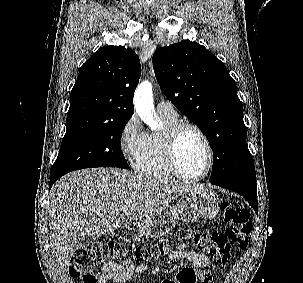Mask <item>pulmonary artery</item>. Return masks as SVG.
<instances>
[{
  "mask_svg": "<svg viewBox=\"0 0 303 283\" xmlns=\"http://www.w3.org/2000/svg\"><path fill=\"white\" fill-rule=\"evenodd\" d=\"M157 111L160 114L173 116L176 115V112L172 106V104L168 101H160L157 104Z\"/></svg>",
  "mask_w": 303,
  "mask_h": 283,
  "instance_id": "pulmonary-artery-1",
  "label": "pulmonary artery"
}]
</instances>
